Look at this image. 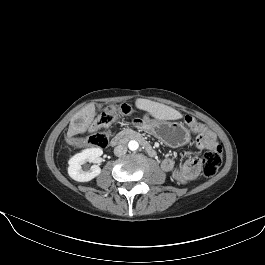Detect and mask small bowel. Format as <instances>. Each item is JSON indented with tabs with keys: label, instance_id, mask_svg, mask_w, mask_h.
I'll return each instance as SVG.
<instances>
[{
	"label": "small bowel",
	"instance_id": "small-bowel-1",
	"mask_svg": "<svg viewBox=\"0 0 265 265\" xmlns=\"http://www.w3.org/2000/svg\"><path fill=\"white\" fill-rule=\"evenodd\" d=\"M197 133L196 146L199 149H207L218 144L216 135L206 126H204L203 131ZM161 167L165 172L170 173L172 178L180 184H186L196 179L200 172L197 156H189L181 167H177L172 159L166 158L162 161Z\"/></svg>",
	"mask_w": 265,
	"mask_h": 265
}]
</instances>
